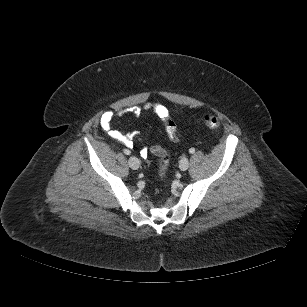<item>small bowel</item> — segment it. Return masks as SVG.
<instances>
[{
	"label": "small bowel",
	"instance_id": "c3829d8e",
	"mask_svg": "<svg viewBox=\"0 0 307 307\" xmlns=\"http://www.w3.org/2000/svg\"><path fill=\"white\" fill-rule=\"evenodd\" d=\"M144 111H152L156 113V115L161 119L164 120L168 116V110L166 107L159 105V104H147L144 106ZM132 112L135 116H139L141 110L138 107L133 108ZM121 114H114L112 111L108 110L105 111L100 117V125L102 129L114 139H117L123 142L127 147H132V140L129 135H125L120 132L113 124L114 120L119 117ZM140 155L143 158L148 156L147 149H142Z\"/></svg>",
	"mask_w": 307,
	"mask_h": 307
}]
</instances>
